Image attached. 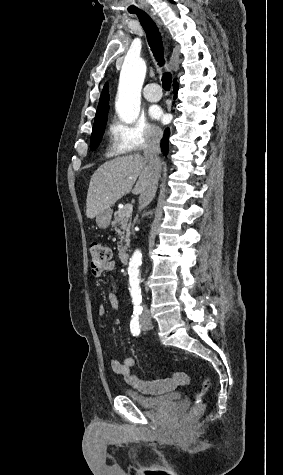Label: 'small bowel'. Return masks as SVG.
Here are the masks:
<instances>
[{
  "mask_svg": "<svg viewBox=\"0 0 283 475\" xmlns=\"http://www.w3.org/2000/svg\"><path fill=\"white\" fill-rule=\"evenodd\" d=\"M115 268V263L113 261L106 262L102 265L99 266H94L92 265L90 268V274L94 278H99L101 277L104 273L106 272H111ZM109 301L111 306L114 309H119L120 307V298L117 293V289L114 288L111 293L109 294ZM98 315L100 317H105L107 315V309L104 305H100L98 307ZM136 365V360L134 358H125L122 361L119 360H112L111 361V368L114 373L121 375L126 383H128L130 386L141 389V390H147V384L142 381L137 375L133 374L131 372V369ZM187 380L189 378V373L187 371H182L181 373H178L177 375H174L172 378L168 379H162L161 377H156L155 378V383L156 384H162L164 388H169L175 385H184L186 384L182 380Z\"/></svg>",
  "mask_w": 283,
  "mask_h": 475,
  "instance_id": "small-bowel-1",
  "label": "small bowel"
}]
</instances>
